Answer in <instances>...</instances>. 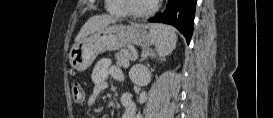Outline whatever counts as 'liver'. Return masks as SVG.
I'll return each mask as SVG.
<instances>
[{
	"label": "liver",
	"mask_w": 273,
	"mask_h": 118,
	"mask_svg": "<svg viewBox=\"0 0 273 118\" xmlns=\"http://www.w3.org/2000/svg\"><path fill=\"white\" fill-rule=\"evenodd\" d=\"M116 18L109 15H96L91 17L81 28L78 35L75 38V42H78L82 38L90 35L98 29L116 22Z\"/></svg>",
	"instance_id": "liver-1"
}]
</instances>
